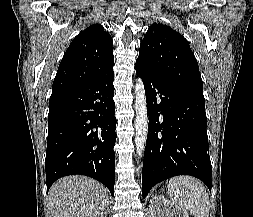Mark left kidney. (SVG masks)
Listing matches in <instances>:
<instances>
[{"mask_svg": "<svg viewBox=\"0 0 253 217\" xmlns=\"http://www.w3.org/2000/svg\"><path fill=\"white\" fill-rule=\"evenodd\" d=\"M150 202L152 217H189L186 210L177 208L164 197L155 196Z\"/></svg>", "mask_w": 253, "mask_h": 217, "instance_id": "5707ae66", "label": "left kidney"}]
</instances>
